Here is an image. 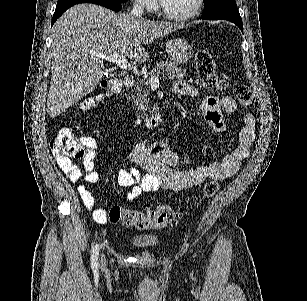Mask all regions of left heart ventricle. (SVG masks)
Wrapping results in <instances>:
<instances>
[{
	"mask_svg": "<svg viewBox=\"0 0 307 301\" xmlns=\"http://www.w3.org/2000/svg\"><path fill=\"white\" fill-rule=\"evenodd\" d=\"M195 0H165V11H192Z\"/></svg>",
	"mask_w": 307,
	"mask_h": 301,
	"instance_id": "b2bd125f",
	"label": "left heart ventricle"
}]
</instances>
